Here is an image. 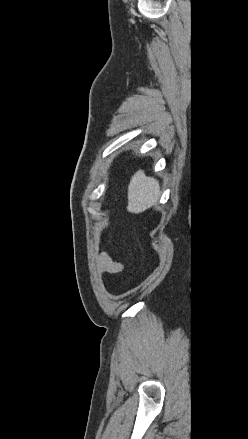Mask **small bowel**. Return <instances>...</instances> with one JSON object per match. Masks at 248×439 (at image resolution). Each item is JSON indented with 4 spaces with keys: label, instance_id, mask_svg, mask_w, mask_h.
Wrapping results in <instances>:
<instances>
[{
    "label": "small bowel",
    "instance_id": "1",
    "mask_svg": "<svg viewBox=\"0 0 248 439\" xmlns=\"http://www.w3.org/2000/svg\"><path fill=\"white\" fill-rule=\"evenodd\" d=\"M99 269L104 273L121 272L123 264L108 252H102L99 257Z\"/></svg>",
    "mask_w": 248,
    "mask_h": 439
}]
</instances>
